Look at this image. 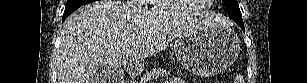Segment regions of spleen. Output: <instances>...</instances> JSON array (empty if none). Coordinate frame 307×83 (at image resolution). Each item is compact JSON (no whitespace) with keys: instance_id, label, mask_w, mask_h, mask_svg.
Wrapping results in <instances>:
<instances>
[{"instance_id":"1","label":"spleen","mask_w":307,"mask_h":83,"mask_svg":"<svg viewBox=\"0 0 307 83\" xmlns=\"http://www.w3.org/2000/svg\"><path fill=\"white\" fill-rule=\"evenodd\" d=\"M234 83H244L243 77L242 76H237L235 78Z\"/></svg>"}]
</instances>
